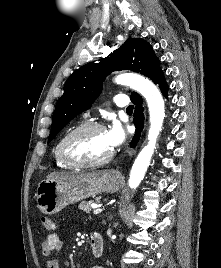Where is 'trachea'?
Wrapping results in <instances>:
<instances>
[{
  "mask_svg": "<svg viewBox=\"0 0 221 268\" xmlns=\"http://www.w3.org/2000/svg\"><path fill=\"white\" fill-rule=\"evenodd\" d=\"M133 108H134V106H132V105L131 106H128L127 109H126V111L131 112V111H133Z\"/></svg>",
  "mask_w": 221,
  "mask_h": 268,
  "instance_id": "trachea-1",
  "label": "trachea"
}]
</instances>
